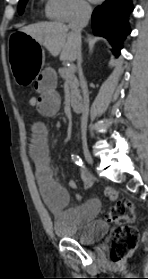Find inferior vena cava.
<instances>
[{
    "mask_svg": "<svg viewBox=\"0 0 148 279\" xmlns=\"http://www.w3.org/2000/svg\"><path fill=\"white\" fill-rule=\"evenodd\" d=\"M92 14V8L88 4H80L76 10L73 20L69 24L71 32L77 37H81L82 29L88 24V21ZM82 57H81V46L77 49V66L80 78L81 89L83 93V110L81 116V133L83 144H86V128L88 121V107H89V94L87 89V84L82 73L81 68Z\"/></svg>",
    "mask_w": 148,
    "mask_h": 279,
    "instance_id": "obj_1",
    "label": "inferior vena cava"
}]
</instances>
